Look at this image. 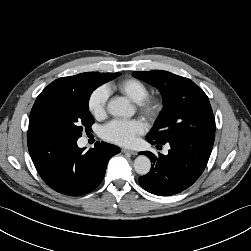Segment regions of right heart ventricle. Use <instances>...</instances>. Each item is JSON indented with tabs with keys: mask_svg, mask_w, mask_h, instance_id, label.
Returning <instances> with one entry per match:
<instances>
[{
	"mask_svg": "<svg viewBox=\"0 0 251 251\" xmlns=\"http://www.w3.org/2000/svg\"><path fill=\"white\" fill-rule=\"evenodd\" d=\"M114 88L135 103L142 101L149 95L147 85L136 78L123 79L117 82Z\"/></svg>",
	"mask_w": 251,
	"mask_h": 251,
	"instance_id": "right-heart-ventricle-1",
	"label": "right heart ventricle"
}]
</instances>
